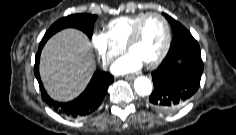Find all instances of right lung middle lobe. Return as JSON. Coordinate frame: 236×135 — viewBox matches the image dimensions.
<instances>
[{
	"label": "right lung middle lobe",
	"mask_w": 236,
	"mask_h": 135,
	"mask_svg": "<svg viewBox=\"0 0 236 135\" xmlns=\"http://www.w3.org/2000/svg\"><path fill=\"white\" fill-rule=\"evenodd\" d=\"M95 20L96 15L89 14H74L61 18L47 30L41 42L47 41L53 34L68 27L80 29L85 32L89 38H91Z\"/></svg>",
	"instance_id": "1"
}]
</instances>
